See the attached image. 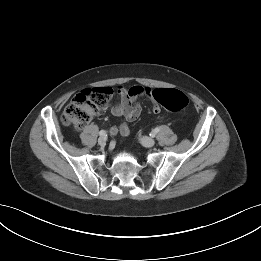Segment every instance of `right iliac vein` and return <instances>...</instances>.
<instances>
[{
  "mask_svg": "<svg viewBox=\"0 0 261 261\" xmlns=\"http://www.w3.org/2000/svg\"><path fill=\"white\" fill-rule=\"evenodd\" d=\"M98 144L100 145V146H105L106 145V138L105 137H100L99 139H98Z\"/></svg>",
  "mask_w": 261,
  "mask_h": 261,
  "instance_id": "obj_1",
  "label": "right iliac vein"
}]
</instances>
